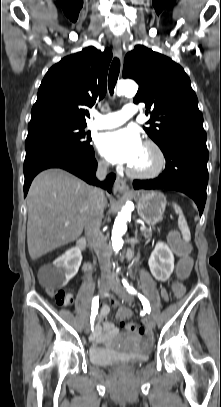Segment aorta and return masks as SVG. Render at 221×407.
<instances>
[{"label": "aorta", "instance_id": "obj_1", "mask_svg": "<svg viewBox=\"0 0 221 407\" xmlns=\"http://www.w3.org/2000/svg\"><path fill=\"white\" fill-rule=\"evenodd\" d=\"M138 86L134 81H120L117 87V95H135ZM134 208L132 202L127 201L126 205L118 213L112 230V248L117 253L123 247V235L127 231V221L131 219V213Z\"/></svg>", "mask_w": 221, "mask_h": 407}]
</instances>
